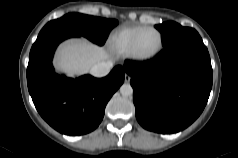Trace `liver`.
<instances>
[{
	"mask_svg": "<svg viewBox=\"0 0 238 158\" xmlns=\"http://www.w3.org/2000/svg\"><path fill=\"white\" fill-rule=\"evenodd\" d=\"M109 58L107 51L86 39L68 40L57 51L55 65L68 75L88 73L90 68Z\"/></svg>",
	"mask_w": 238,
	"mask_h": 158,
	"instance_id": "6515ba94",
	"label": "liver"
}]
</instances>
